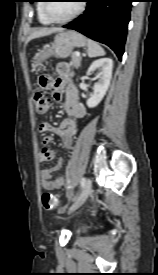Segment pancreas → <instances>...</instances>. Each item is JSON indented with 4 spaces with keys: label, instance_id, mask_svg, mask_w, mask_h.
I'll return each mask as SVG.
<instances>
[{
    "label": "pancreas",
    "instance_id": "cf45deb5",
    "mask_svg": "<svg viewBox=\"0 0 158 275\" xmlns=\"http://www.w3.org/2000/svg\"><path fill=\"white\" fill-rule=\"evenodd\" d=\"M71 58H72V61H71L72 66L78 69L81 65V57L73 53L71 55Z\"/></svg>",
    "mask_w": 158,
    "mask_h": 275
}]
</instances>
